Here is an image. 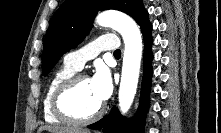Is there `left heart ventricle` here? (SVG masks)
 Listing matches in <instances>:
<instances>
[{
	"label": "left heart ventricle",
	"mask_w": 221,
	"mask_h": 133,
	"mask_svg": "<svg viewBox=\"0 0 221 133\" xmlns=\"http://www.w3.org/2000/svg\"><path fill=\"white\" fill-rule=\"evenodd\" d=\"M67 109L77 117L95 113L102 102L96 97L90 79L82 80L65 101Z\"/></svg>",
	"instance_id": "b2bd125f"
}]
</instances>
